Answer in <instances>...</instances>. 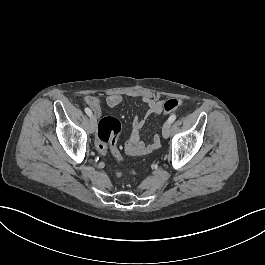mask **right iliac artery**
I'll use <instances>...</instances> for the list:
<instances>
[{
  "mask_svg": "<svg viewBox=\"0 0 265 265\" xmlns=\"http://www.w3.org/2000/svg\"><path fill=\"white\" fill-rule=\"evenodd\" d=\"M85 112L89 117H92V111L88 107L85 108Z\"/></svg>",
  "mask_w": 265,
  "mask_h": 265,
  "instance_id": "obj_1",
  "label": "right iliac artery"
}]
</instances>
